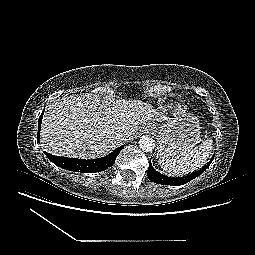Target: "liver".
I'll use <instances>...</instances> for the list:
<instances>
[{"label":"liver","mask_w":255,"mask_h":255,"mask_svg":"<svg viewBox=\"0 0 255 255\" xmlns=\"http://www.w3.org/2000/svg\"><path fill=\"white\" fill-rule=\"evenodd\" d=\"M169 118L141 100L103 101L96 94L70 95L47 105L41 127L42 148L50 154L82 159L105 156L130 139L149 120Z\"/></svg>","instance_id":"6515ba94"}]
</instances>
